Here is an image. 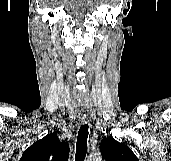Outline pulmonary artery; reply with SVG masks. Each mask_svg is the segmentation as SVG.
Instances as JSON below:
<instances>
[{
    "label": "pulmonary artery",
    "mask_w": 171,
    "mask_h": 161,
    "mask_svg": "<svg viewBox=\"0 0 171 161\" xmlns=\"http://www.w3.org/2000/svg\"><path fill=\"white\" fill-rule=\"evenodd\" d=\"M86 161H91V159H88V160H86Z\"/></svg>",
    "instance_id": "e3ab8cb5"
}]
</instances>
